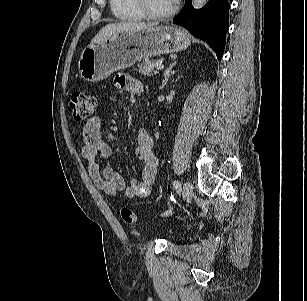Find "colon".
Wrapping results in <instances>:
<instances>
[{"label":"colon","instance_id":"obj_1","mask_svg":"<svg viewBox=\"0 0 307 301\" xmlns=\"http://www.w3.org/2000/svg\"><path fill=\"white\" fill-rule=\"evenodd\" d=\"M69 105L73 111L74 118L78 121H85L95 112L97 101L92 93L85 90H77L71 95ZM121 217L128 225L141 223L136 214L127 208L121 210Z\"/></svg>","mask_w":307,"mask_h":301}]
</instances>
